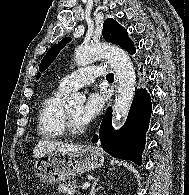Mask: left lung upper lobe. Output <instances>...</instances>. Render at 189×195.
Listing matches in <instances>:
<instances>
[{"label": "left lung upper lobe", "mask_w": 189, "mask_h": 195, "mask_svg": "<svg viewBox=\"0 0 189 195\" xmlns=\"http://www.w3.org/2000/svg\"><path fill=\"white\" fill-rule=\"evenodd\" d=\"M103 37L106 41L112 42L128 51L129 54H134L136 49L133 42L128 38L127 31L121 27L115 20L107 19L103 24ZM71 38L62 39L57 44L53 45L46 53L41 61L39 70L42 72L46 70L53 60L58 55L59 51L70 42ZM40 73L37 75V79Z\"/></svg>", "instance_id": "obj_1"}]
</instances>
